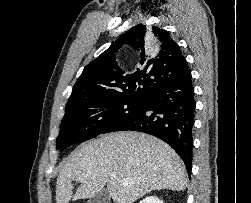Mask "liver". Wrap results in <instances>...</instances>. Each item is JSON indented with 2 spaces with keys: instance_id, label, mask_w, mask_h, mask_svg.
<instances>
[{
  "instance_id": "6515ba94",
  "label": "liver",
  "mask_w": 251,
  "mask_h": 203,
  "mask_svg": "<svg viewBox=\"0 0 251 203\" xmlns=\"http://www.w3.org/2000/svg\"><path fill=\"white\" fill-rule=\"evenodd\" d=\"M73 181L80 182L74 195ZM106 184L115 203H134L154 190H184L187 178L182 160L162 140L139 132L109 133L80 145L67 159L57 179L56 203L92 198Z\"/></svg>"
}]
</instances>
